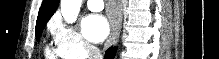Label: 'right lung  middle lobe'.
Wrapping results in <instances>:
<instances>
[{
	"mask_svg": "<svg viewBox=\"0 0 219 59\" xmlns=\"http://www.w3.org/2000/svg\"><path fill=\"white\" fill-rule=\"evenodd\" d=\"M44 27H45V26L38 27V28H36V30H35L36 39H37L38 42L40 41V36H41V34H42V31H43Z\"/></svg>",
	"mask_w": 219,
	"mask_h": 59,
	"instance_id": "right-lung-middle-lobe-1",
	"label": "right lung middle lobe"
}]
</instances>
